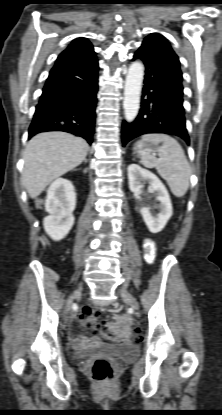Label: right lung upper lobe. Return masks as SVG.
Masks as SVG:
<instances>
[{"label":"right lung upper lobe","mask_w":222,"mask_h":415,"mask_svg":"<svg viewBox=\"0 0 222 415\" xmlns=\"http://www.w3.org/2000/svg\"><path fill=\"white\" fill-rule=\"evenodd\" d=\"M95 54L92 44L86 38H77L58 56V58L82 57Z\"/></svg>","instance_id":"1"}]
</instances>
